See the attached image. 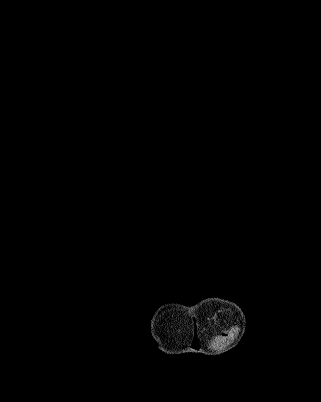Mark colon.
I'll return each mask as SVG.
<instances>
[{
	"instance_id": "obj_1",
	"label": "colon",
	"mask_w": 321,
	"mask_h": 402,
	"mask_svg": "<svg viewBox=\"0 0 321 402\" xmlns=\"http://www.w3.org/2000/svg\"><path fill=\"white\" fill-rule=\"evenodd\" d=\"M236 331V328H232L219 335L215 340L217 347H222L226 344H229L234 339Z\"/></svg>"
}]
</instances>
